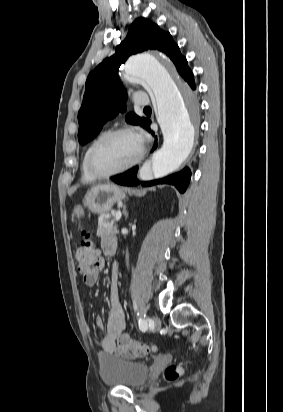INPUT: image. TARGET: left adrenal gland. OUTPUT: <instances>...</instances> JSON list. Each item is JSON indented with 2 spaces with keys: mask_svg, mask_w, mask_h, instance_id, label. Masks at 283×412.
<instances>
[{
  "mask_svg": "<svg viewBox=\"0 0 283 412\" xmlns=\"http://www.w3.org/2000/svg\"><path fill=\"white\" fill-rule=\"evenodd\" d=\"M123 214L125 216V220L128 218V212L126 210V207L123 208Z\"/></svg>",
  "mask_w": 283,
  "mask_h": 412,
  "instance_id": "a2214340",
  "label": "left adrenal gland"
}]
</instances>
